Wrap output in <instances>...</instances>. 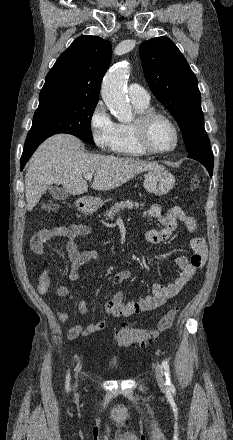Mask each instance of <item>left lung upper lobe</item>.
<instances>
[{
  "instance_id": "obj_1",
  "label": "left lung upper lobe",
  "mask_w": 233,
  "mask_h": 440,
  "mask_svg": "<svg viewBox=\"0 0 233 440\" xmlns=\"http://www.w3.org/2000/svg\"><path fill=\"white\" fill-rule=\"evenodd\" d=\"M139 53L150 89L176 119L188 154L209 151L198 81L177 46L157 37L144 41Z\"/></svg>"
}]
</instances>
